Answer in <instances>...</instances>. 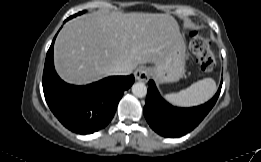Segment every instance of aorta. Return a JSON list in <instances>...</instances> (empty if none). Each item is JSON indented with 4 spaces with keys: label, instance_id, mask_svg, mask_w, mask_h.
I'll return each mask as SVG.
<instances>
[{
    "label": "aorta",
    "instance_id": "1",
    "mask_svg": "<svg viewBox=\"0 0 261 162\" xmlns=\"http://www.w3.org/2000/svg\"><path fill=\"white\" fill-rule=\"evenodd\" d=\"M132 93L136 96V97H145L147 94V87L144 83L142 82H137L135 84H133L132 86Z\"/></svg>",
    "mask_w": 261,
    "mask_h": 162
}]
</instances>
